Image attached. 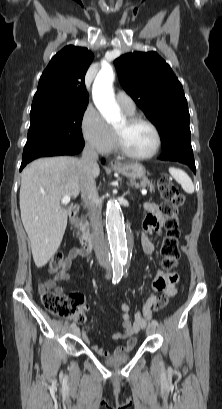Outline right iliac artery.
<instances>
[{"label": "right iliac artery", "mask_w": 222, "mask_h": 409, "mask_svg": "<svg viewBox=\"0 0 222 409\" xmlns=\"http://www.w3.org/2000/svg\"><path fill=\"white\" fill-rule=\"evenodd\" d=\"M121 278H122L121 272H116V273H114V274H113V284L118 283ZM75 327H76V323L73 322V323L71 324V328H75Z\"/></svg>", "instance_id": "1"}]
</instances>
